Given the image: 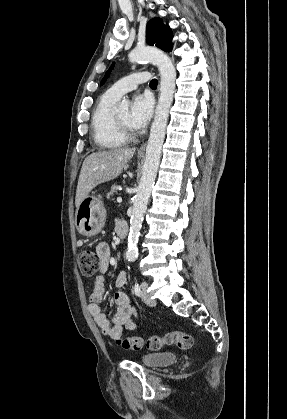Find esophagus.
I'll use <instances>...</instances> for the list:
<instances>
[{
  "mask_svg": "<svg viewBox=\"0 0 287 419\" xmlns=\"http://www.w3.org/2000/svg\"><path fill=\"white\" fill-rule=\"evenodd\" d=\"M146 143L142 144L141 147L138 149L139 154H143L145 152Z\"/></svg>",
  "mask_w": 287,
  "mask_h": 419,
  "instance_id": "esophagus-1",
  "label": "esophagus"
}]
</instances>
